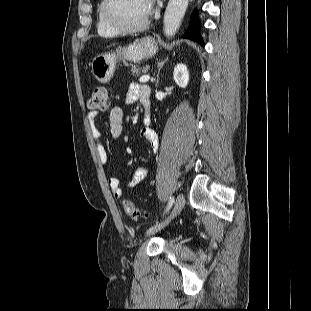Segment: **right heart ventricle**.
<instances>
[{"instance_id":"1","label":"right heart ventricle","mask_w":311,"mask_h":311,"mask_svg":"<svg viewBox=\"0 0 311 311\" xmlns=\"http://www.w3.org/2000/svg\"><path fill=\"white\" fill-rule=\"evenodd\" d=\"M103 2L104 0H100L96 9V31L100 36L113 37L119 33L105 22L102 14Z\"/></svg>"}]
</instances>
